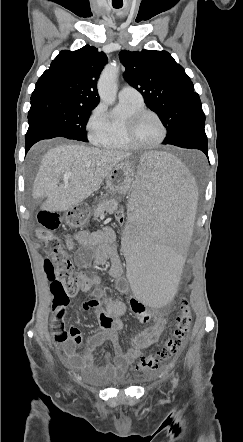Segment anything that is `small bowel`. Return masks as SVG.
Masks as SVG:
<instances>
[{"label": "small bowel", "instance_id": "c3829d8e", "mask_svg": "<svg viewBox=\"0 0 243 442\" xmlns=\"http://www.w3.org/2000/svg\"><path fill=\"white\" fill-rule=\"evenodd\" d=\"M115 238V231L110 226L97 231L81 230L77 232L75 241L80 248L76 251L74 259L79 267L100 266L109 261V273L115 280L117 290L127 293L130 286L124 276L123 265L113 247ZM94 282L96 286L88 292L90 299L82 304V309L84 311L94 310L102 331L89 338L86 349L82 353L76 351V347L82 341V334L75 325L65 328L66 308L53 309L51 327L55 341L59 344L68 365L81 370L87 380L102 383L123 375L143 350L156 343L166 328V320L158 310L148 314L142 303L133 299L131 301L132 312L140 322L146 323L152 320V324L144 331L134 335L131 338V348L123 351L117 334L123 327L121 317L127 312L128 307L124 302L106 298L99 279L94 278ZM105 341L111 343L114 355L113 357L105 355L104 363L98 364L94 351Z\"/></svg>", "mask_w": 243, "mask_h": 442}]
</instances>
